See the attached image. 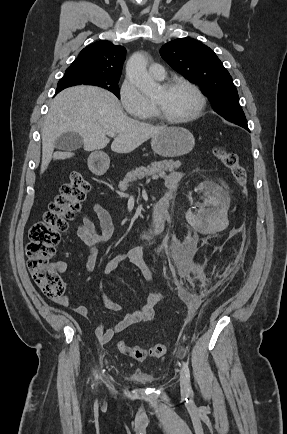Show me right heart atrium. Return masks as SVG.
I'll return each instance as SVG.
<instances>
[{
    "mask_svg": "<svg viewBox=\"0 0 287 434\" xmlns=\"http://www.w3.org/2000/svg\"><path fill=\"white\" fill-rule=\"evenodd\" d=\"M119 97L124 110L129 115L141 116L151 108L150 101L129 78H125L122 82Z\"/></svg>",
    "mask_w": 287,
    "mask_h": 434,
    "instance_id": "d8ad5b80",
    "label": "right heart atrium"
}]
</instances>
